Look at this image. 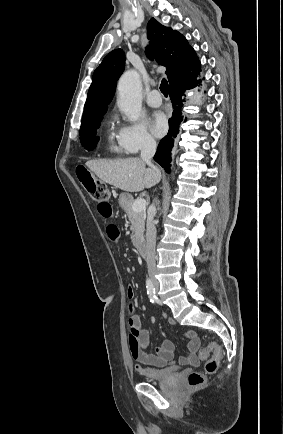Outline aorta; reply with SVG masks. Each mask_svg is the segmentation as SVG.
<instances>
[{
  "instance_id": "obj_1",
  "label": "aorta",
  "mask_w": 283,
  "mask_h": 434,
  "mask_svg": "<svg viewBox=\"0 0 283 434\" xmlns=\"http://www.w3.org/2000/svg\"><path fill=\"white\" fill-rule=\"evenodd\" d=\"M142 87L137 71L125 72L118 82L117 105L126 117L135 122L139 119L142 109Z\"/></svg>"
}]
</instances>
